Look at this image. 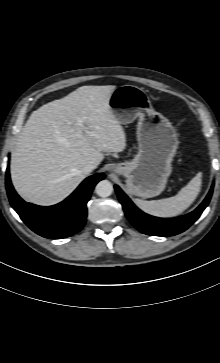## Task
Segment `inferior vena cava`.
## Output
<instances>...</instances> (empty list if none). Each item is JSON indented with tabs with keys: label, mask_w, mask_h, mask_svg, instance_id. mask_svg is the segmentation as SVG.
<instances>
[{
	"label": "inferior vena cava",
	"mask_w": 220,
	"mask_h": 363,
	"mask_svg": "<svg viewBox=\"0 0 220 363\" xmlns=\"http://www.w3.org/2000/svg\"><path fill=\"white\" fill-rule=\"evenodd\" d=\"M96 168V165L93 162H86L82 168L83 172L89 174Z\"/></svg>",
	"instance_id": "inferior-vena-cava-1"
}]
</instances>
